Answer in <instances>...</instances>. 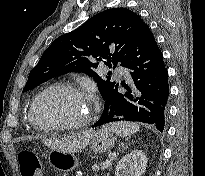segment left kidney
<instances>
[{"mask_svg":"<svg viewBox=\"0 0 205 176\" xmlns=\"http://www.w3.org/2000/svg\"><path fill=\"white\" fill-rule=\"evenodd\" d=\"M147 167V157L142 150H132L123 156L115 169V176H141Z\"/></svg>","mask_w":205,"mask_h":176,"instance_id":"left-kidney-1","label":"left kidney"}]
</instances>
